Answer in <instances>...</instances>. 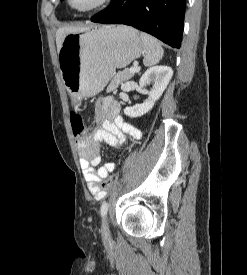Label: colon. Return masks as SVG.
<instances>
[{
	"instance_id": "5ec220e1",
	"label": "colon",
	"mask_w": 247,
	"mask_h": 275,
	"mask_svg": "<svg viewBox=\"0 0 247 275\" xmlns=\"http://www.w3.org/2000/svg\"><path fill=\"white\" fill-rule=\"evenodd\" d=\"M70 123L75 139L78 141L82 140L86 133V127L81 114L79 112L72 111L70 116ZM112 184L113 178L110 177L102 183L101 187L105 192H108L111 189Z\"/></svg>"
}]
</instances>
